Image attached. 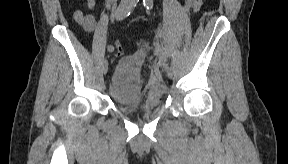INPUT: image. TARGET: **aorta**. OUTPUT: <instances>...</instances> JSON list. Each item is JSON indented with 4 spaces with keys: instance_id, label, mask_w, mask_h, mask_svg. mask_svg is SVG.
Wrapping results in <instances>:
<instances>
[{
    "instance_id": "762f6f07",
    "label": "aorta",
    "mask_w": 288,
    "mask_h": 164,
    "mask_svg": "<svg viewBox=\"0 0 288 164\" xmlns=\"http://www.w3.org/2000/svg\"><path fill=\"white\" fill-rule=\"evenodd\" d=\"M146 6H149V8H152L153 6V0H145Z\"/></svg>"
}]
</instances>
